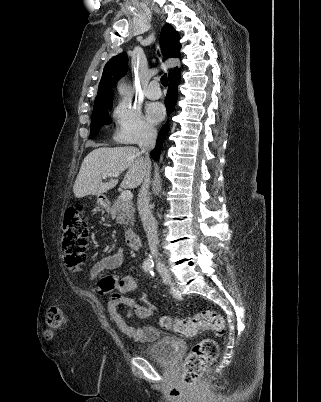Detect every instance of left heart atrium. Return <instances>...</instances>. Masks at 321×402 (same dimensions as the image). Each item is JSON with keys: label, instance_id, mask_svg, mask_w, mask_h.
<instances>
[{"label": "left heart atrium", "instance_id": "39dd6f15", "mask_svg": "<svg viewBox=\"0 0 321 402\" xmlns=\"http://www.w3.org/2000/svg\"><path fill=\"white\" fill-rule=\"evenodd\" d=\"M147 117L152 123L159 122L165 114L164 107L160 103H152L147 107Z\"/></svg>", "mask_w": 321, "mask_h": 402}]
</instances>
